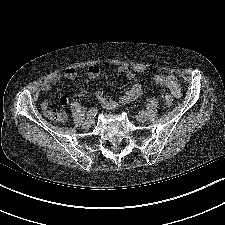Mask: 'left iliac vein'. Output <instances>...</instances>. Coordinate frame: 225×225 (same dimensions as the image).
Instances as JSON below:
<instances>
[{"instance_id":"left-iliac-vein-1","label":"left iliac vein","mask_w":225,"mask_h":225,"mask_svg":"<svg viewBox=\"0 0 225 225\" xmlns=\"http://www.w3.org/2000/svg\"><path fill=\"white\" fill-rule=\"evenodd\" d=\"M136 120L139 122H146L147 121V115L145 113H139L135 116Z\"/></svg>"}]
</instances>
